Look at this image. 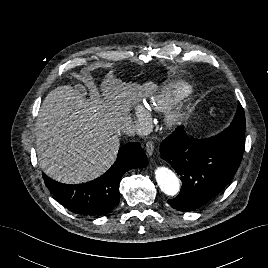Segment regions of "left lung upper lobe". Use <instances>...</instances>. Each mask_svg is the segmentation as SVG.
<instances>
[{"instance_id": "left-lung-upper-lobe-1", "label": "left lung upper lobe", "mask_w": 268, "mask_h": 268, "mask_svg": "<svg viewBox=\"0 0 268 268\" xmlns=\"http://www.w3.org/2000/svg\"><path fill=\"white\" fill-rule=\"evenodd\" d=\"M245 115L242 106L239 104L235 118L229 128L218 137L223 142H228L237 149L244 151Z\"/></svg>"}]
</instances>
